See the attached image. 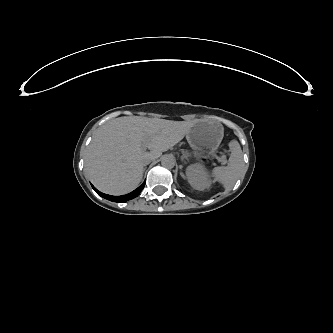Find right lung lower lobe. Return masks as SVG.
I'll use <instances>...</instances> for the list:
<instances>
[{
	"mask_svg": "<svg viewBox=\"0 0 333 333\" xmlns=\"http://www.w3.org/2000/svg\"><path fill=\"white\" fill-rule=\"evenodd\" d=\"M144 185H145V182H144L140 187H138L136 190H134L133 192H131V193L127 194V195H123V196L115 197V198H119V199H113V200H121V198H122V200H125V198H128V199L133 198V197H135L136 195H138V194L142 191V189L144 188ZM93 189H94L99 195H101V196H110V195H106V194H103V193L99 192V191H98L96 188H94V187H93Z\"/></svg>",
	"mask_w": 333,
	"mask_h": 333,
	"instance_id": "1",
	"label": "right lung lower lobe"
}]
</instances>
